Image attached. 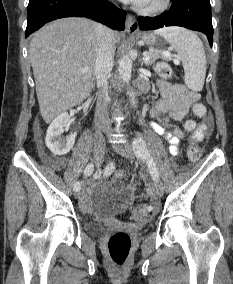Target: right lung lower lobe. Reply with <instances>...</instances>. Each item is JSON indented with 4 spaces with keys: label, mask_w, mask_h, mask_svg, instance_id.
Masks as SVG:
<instances>
[{
    "label": "right lung lower lobe",
    "mask_w": 233,
    "mask_h": 284,
    "mask_svg": "<svg viewBox=\"0 0 233 284\" xmlns=\"http://www.w3.org/2000/svg\"><path fill=\"white\" fill-rule=\"evenodd\" d=\"M87 17L124 30L126 12L108 0H29L26 37L45 23L63 17Z\"/></svg>",
    "instance_id": "1"
}]
</instances>
